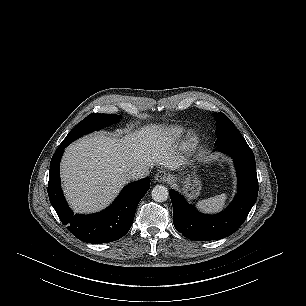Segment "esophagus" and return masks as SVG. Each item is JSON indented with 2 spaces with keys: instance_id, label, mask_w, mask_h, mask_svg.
<instances>
[{
  "instance_id": "obj_1",
  "label": "esophagus",
  "mask_w": 306,
  "mask_h": 306,
  "mask_svg": "<svg viewBox=\"0 0 306 306\" xmlns=\"http://www.w3.org/2000/svg\"><path fill=\"white\" fill-rule=\"evenodd\" d=\"M154 179L156 182H166L169 180V175L166 171L164 170H159L155 176Z\"/></svg>"
}]
</instances>
